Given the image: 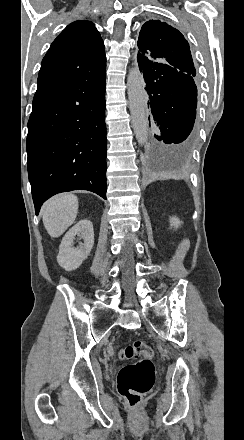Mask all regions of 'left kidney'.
<instances>
[{"instance_id":"obj_1","label":"left kidney","mask_w":244,"mask_h":440,"mask_svg":"<svg viewBox=\"0 0 244 440\" xmlns=\"http://www.w3.org/2000/svg\"><path fill=\"white\" fill-rule=\"evenodd\" d=\"M180 224H182V222H180L178 218H170V226H174V228H179Z\"/></svg>"}]
</instances>
